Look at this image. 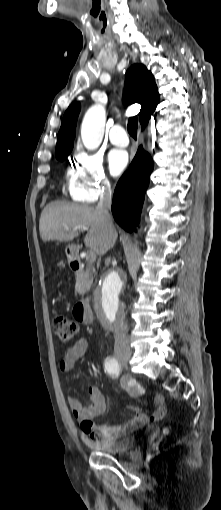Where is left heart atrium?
<instances>
[{"label": "left heart atrium", "instance_id": "obj_1", "mask_svg": "<svg viewBox=\"0 0 221 510\" xmlns=\"http://www.w3.org/2000/svg\"><path fill=\"white\" fill-rule=\"evenodd\" d=\"M109 167L113 175H119L122 173L127 164V154L122 150H112L109 154Z\"/></svg>", "mask_w": 221, "mask_h": 510}]
</instances>
